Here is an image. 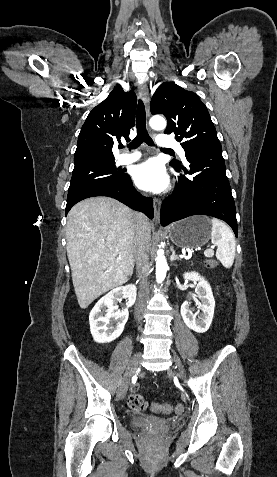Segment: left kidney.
<instances>
[{
  "mask_svg": "<svg viewBox=\"0 0 277 477\" xmlns=\"http://www.w3.org/2000/svg\"><path fill=\"white\" fill-rule=\"evenodd\" d=\"M184 279L198 282L195 291L198 294L199 299L201 300L199 306L202 312L200 317H198L197 319L196 314L192 313L188 301H184L181 305V316L185 325L189 329L197 333H204L209 329L214 316L215 300L213 297L211 286L197 272L185 273Z\"/></svg>",
  "mask_w": 277,
  "mask_h": 477,
  "instance_id": "left-kidney-1",
  "label": "left kidney"
}]
</instances>
